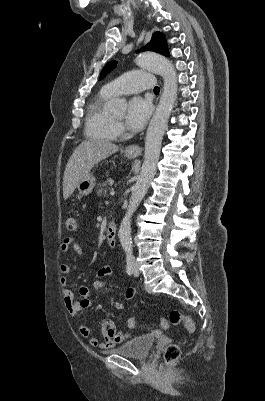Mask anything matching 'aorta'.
<instances>
[{"mask_svg":"<svg viewBox=\"0 0 265 401\" xmlns=\"http://www.w3.org/2000/svg\"><path fill=\"white\" fill-rule=\"evenodd\" d=\"M138 66L149 68L151 72H158L163 76V92L157 104V108L149 122L145 138V154L138 180L132 186L129 205L124 219L120 225L118 237L126 255H132L131 221L142 198H144L155 174L160 156L162 138L168 124L173 104L177 98V74L168 58L156 54V52H144L136 58Z\"/></svg>","mask_w":265,"mask_h":401,"instance_id":"aorta-1","label":"aorta"}]
</instances>
